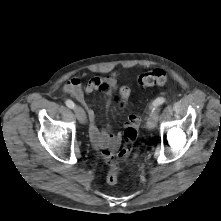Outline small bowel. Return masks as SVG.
I'll list each match as a JSON object with an SVG mask.
<instances>
[{"mask_svg": "<svg viewBox=\"0 0 221 221\" xmlns=\"http://www.w3.org/2000/svg\"><path fill=\"white\" fill-rule=\"evenodd\" d=\"M117 89V81L114 76H107L104 78H92L84 90L80 79L75 76L71 78L64 86V91L73 96L86 109L89 119V137L98 150H102L103 156L108 160L113 157V153L118 150L122 142V133H113L109 129H100L96 124V113L91 105L85 100L84 93L90 94L96 90H100L107 98V107L110 99ZM139 123V118L135 114H130L126 121V127L136 125Z\"/></svg>", "mask_w": 221, "mask_h": 221, "instance_id": "small-bowel-1", "label": "small bowel"}]
</instances>
